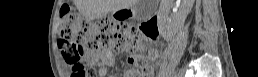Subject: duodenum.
<instances>
[{"label":"duodenum","mask_w":258,"mask_h":77,"mask_svg":"<svg viewBox=\"0 0 258 77\" xmlns=\"http://www.w3.org/2000/svg\"><path fill=\"white\" fill-rule=\"evenodd\" d=\"M146 29H150V31H153L155 33L154 37L158 34V26H157V18L151 19L146 24Z\"/></svg>","instance_id":"1"}]
</instances>
